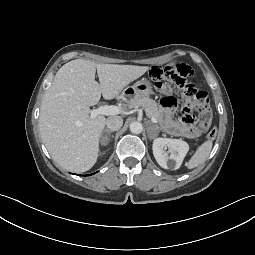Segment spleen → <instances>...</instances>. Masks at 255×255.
I'll use <instances>...</instances> for the list:
<instances>
[{
    "label": "spleen",
    "mask_w": 255,
    "mask_h": 255,
    "mask_svg": "<svg viewBox=\"0 0 255 255\" xmlns=\"http://www.w3.org/2000/svg\"><path fill=\"white\" fill-rule=\"evenodd\" d=\"M213 143L211 140L203 142L195 151L194 155L186 162L188 169H193L202 164L209 156Z\"/></svg>",
    "instance_id": "obj_1"
}]
</instances>
